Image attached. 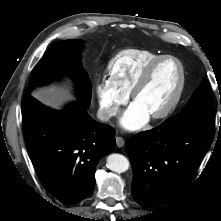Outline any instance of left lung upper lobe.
Instances as JSON below:
<instances>
[{"mask_svg": "<svg viewBox=\"0 0 221 221\" xmlns=\"http://www.w3.org/2000/svg\"><path fill=\"white\" fill-rule=\"evenodd\" d=\"M165 123L175 129L202 128L214 130L213 97L207 79L204 78L182 111L166 120Z\"/></svg>", "mask_w": 221, "mask_h": 221, "instance_id": "left-lung-upper-lobe-1", "label": "left lung upper lobe"}]
</instances>
